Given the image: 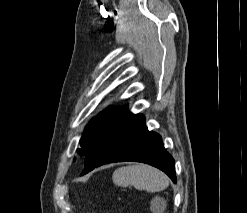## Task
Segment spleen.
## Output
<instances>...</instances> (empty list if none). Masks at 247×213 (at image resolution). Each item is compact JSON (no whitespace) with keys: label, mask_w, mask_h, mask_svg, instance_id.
<instances>
[{"label":"spleen","mask_w":247,"mask_h":213,"mask_svg":"<svg viewBox=\"0 0 247 213\" xmlns=\"http://www.w3.org/2000/svg\"><path fill=\"white\" fill-rule=\"evenodd\" d=\"M114 184L126 187L133 185L137 190L159 192L169 185L168 177L160 170L144 164L118 168L112 175Z\"/></svg>","instance_id":"3e777b00"}]
</instances>
